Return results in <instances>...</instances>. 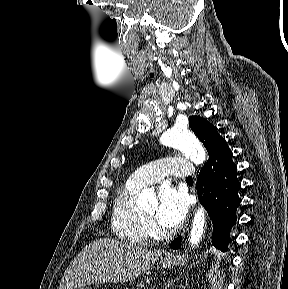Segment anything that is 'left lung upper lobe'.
<instances>
[{
    "instance_id": "5c2ea615",
    "label": "left lung upper lobe",
    "mask_w": 288,
    "mask_h": 289,
    "mask_svg": "<svg viewBox=\"0 0 288 289\" xmlns=\"http://www.w3.org/2000/svg\"><path fill=\"white\" fill-rule=\"evenodd\" d=\"M189 126L207 149L210 157L215 151L219 142L223 139L218 134L216 127L211 125L206 119L199 116H190Z\"/></svg>"
}]
</instances>
